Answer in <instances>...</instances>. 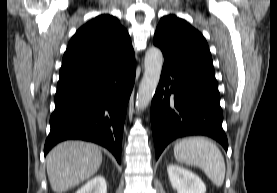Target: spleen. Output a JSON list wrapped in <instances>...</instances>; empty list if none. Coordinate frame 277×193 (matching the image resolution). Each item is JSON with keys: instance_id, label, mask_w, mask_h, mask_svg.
<instances>
[{"instance_id": "1", "label": "spleen", "mask_w": 277, "mask_h": 193, "mask_svg": "<svg viewBox=\"0 0 277 193\" xmlns=\"http://www.w3.org/2000/svg\"><path fill=\"white\" fill-rule=\"evenodd\" d=\"M175 159L189 166H198L217 187L225 178V161L219 148L207 138L188 137L174 146Z\"/></svg>"}]
</instances>
